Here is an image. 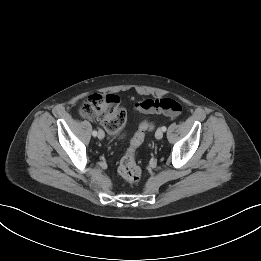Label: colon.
I'll list each match as a JSON object with an SVG mask.
<instances>
[{
    "mask_svg": "<svg viewBox=\"0 0 261 261\" xmlns=\"http://www.w3.org/2000/svg\"><path fill=\"white\" fill-rule=\"evenodd\" d=\"M144 107L152 112L164 113L169 116H179L182 105L174 98H159L146 100ZM80 112L84 117L97 118L102 126L111 134H119L126 122L127 113L116 95L94 94L81 105ZM150 129L148 123H143L132 137L125 155L121 158L118 173L128 183L140 180L142 171L136 161V149L143 142L145 133Z\"/></svg>",
    "mask_w": 261,
    "mask_h": 261,
    "instance_id": "1",
    "label": "colon"
}]
</instances>
